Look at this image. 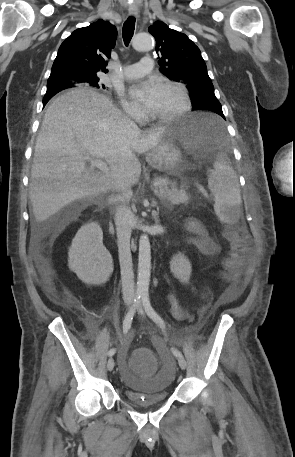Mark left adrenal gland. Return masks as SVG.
<instances>
[{"mask_svg": "<svg viewBox=\"0 0 295 457\" xmlns=\"http://www.w3.org/2000/svg\"><path fill=\"white\" fill-rule=\"evenodd\" d=\"M165 207H166L167 209H171V207H170V206H168L167 204H165Z\"/></svg>", "mask_w": 295, "mask_h": 457, "instance_id": "left-adrenal-gland-1", "label": "left adrenal gland"}]
</instances>
